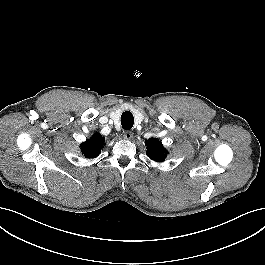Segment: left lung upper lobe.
<instances>
[{
    "label": "left lung upper lobe",
    "instance_id": "left-lung-upper-lobe-1",
    "mask_svg": "<svg viewBox=\"0 0 265 265\" xmlns=\"http://www.w3.org/2000/svg\"><path fill=\"white\" fill-rule=\"evenodd\" d=\"M145 145L147 147L146 154L150 159L156 162H163L165 160L168 152L159 140L156 138H150L145 141Z\"/></svg>",
    "mask_w": 265,
    "mask_h": 265
}]
</instances>
